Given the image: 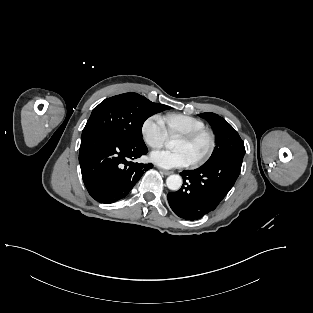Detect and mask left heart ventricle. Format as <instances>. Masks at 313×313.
<instances>
[{"mask_svg":"<svg viewBox=\"0 0 313 313\" xmlns=\"http://www.w3.org/2000/svg\"><path fill=\"white\" fill-rule=\"evenodd\" d=\"M208 138L206 136L199 138L194 142H186L182 139H178L174 145L176 150H183L187 153L191 162L201 156L208 148Z\"/></svg>","mask_w":313,"mask_h":313,"instance_id":"b2bd125f","label":"left heart ventricle"}]
</instances>
